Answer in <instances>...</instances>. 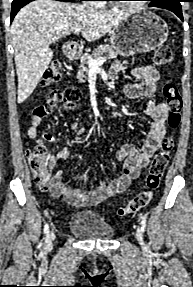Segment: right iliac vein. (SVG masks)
Returning <instances> with one entry per match:
<instances>
[{
  "label": "right iliac vein",
  "instance_id": "1",
  "mask_svg": "<svg viewBox=\"0 0 193 287\" xmlns=\"http://www.w3.org/2000/svg\"><path fill=\"white\" fill-rule=\"evenodd\" d=\"M54 230L52 229V231H51V233H50V237H49V239H48V242H47V247H50V245H51V241H52V239L54 238Z\"/></svg>",
  "mask_w": 193,
  "mask_h": 287
}]
</instances>
